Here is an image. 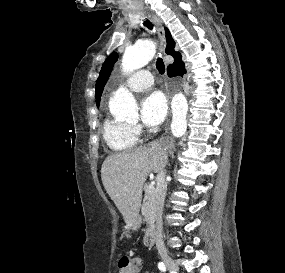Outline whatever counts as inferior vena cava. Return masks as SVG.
<instances>
[{"instance_id": "inferior-vena-cava-1", "label": "inferior vena cava", "mask_w": 285, "mask_h": 273, "mask_svg": "<svg viewBox=\"0 0 285 273\" xmlns=\"http://www.w3.org/2000/svg\"><path fill=\"white\" fill-rule=\"evenodd\" d=\"M165 170L162 169L156 178L157 186L155 193V213H156V248L160 254L166 253V248L164 246L162 237V210L164 206V200L167 190V183L165 180Z\"/></svg>"}]
</instances>
